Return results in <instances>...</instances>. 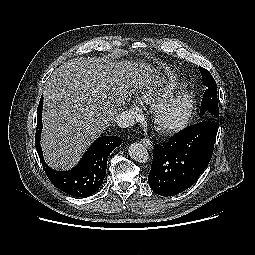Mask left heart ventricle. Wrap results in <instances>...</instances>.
<instances>
[{"label":"left heart ventricle","mask_w":255,"mask_h":255,"mask_svg":"<svg viewBox=\"0 0 255 255\" xmlns=\"http://www.w3.org/2000/svg\"><path fill=\"white\" fill-rule=\"evenodd\" d=\"M180 109H176L174 110L171 114H170V119H173L175 117H177L180 114Z\"/></svg>","instance_id":"b2bd125f"}]
</instances>
